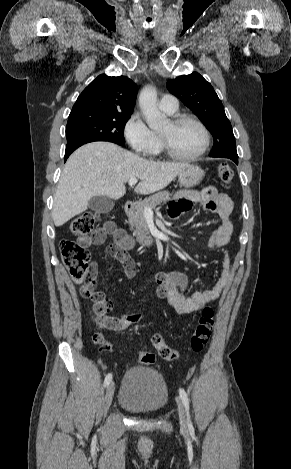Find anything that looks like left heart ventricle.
Returning <instances> with one entry per match:
<instances>
[{
    "instance_id": "left-heart-ventricle-1",
    "label": "left heart ventricle",
    "mask_w": 291,
    "mask_h": 469,
    "mask_svg": "<svg viewBox=\"0 0 291 469\" xmlns=\"http://www.w3.org/2000/svg\"><path fill=\"white\" fill-rule=\"evenodd\" d=\"M172 150L181 155L189 156L195 154L202 146L203 135L199 127L190 121L173 125L169 122L160 132Z\"/></svg>"
}]
</instances>
